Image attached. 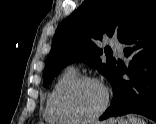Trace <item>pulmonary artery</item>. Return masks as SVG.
Segmentation results:
<instances>
[{"instance_id": "e3ab8cb5", "label": "pulmonary artery", "mask_w": 156, "mask_h": 124, "mask_svg": "<svg viewBox=\"0 0 156 124\" xmlns=\"http://www.w3.org/2000/svg\"><path fill=\"white\" fill-rule=\"evenodd\" d=\"M111 47L113 50L119 55L123 56V45L115 38L110 39L109 41ZM71 68H74V66H71Z\"/></svg>"}]
</instances>
